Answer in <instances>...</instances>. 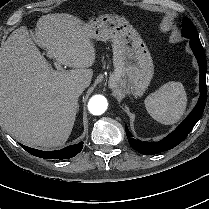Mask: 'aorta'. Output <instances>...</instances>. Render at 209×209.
<instances>
[{"label":"aorta","mask_w":209,"mask_h":209,"mask_svg":"<svg viewBox=\"0 0 209 209\" xmlns=\"http://www.w3.org/2000/svg\"><path fill=\"white\" fill-rule=\"evenodd\" d=\"M107 106V99L103 95H94L88 102V110L93 115L103 114Z\"/></svg>","instance_id":"1"}]
</instances>
